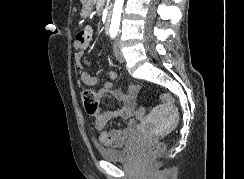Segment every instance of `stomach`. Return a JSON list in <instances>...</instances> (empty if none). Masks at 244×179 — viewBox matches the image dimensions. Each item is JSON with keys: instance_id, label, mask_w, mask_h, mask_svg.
Instances as JSON below:
<instances>
[{"instance_id": "stomach-1", "label": "stomach", "mask_w": 244, "mask_h": 179, "mask_svg": "<svg viewBox=\"0 0 244 179\" xmlns=\"http://www.w3.org/2000/svg\"><path fill=\"white\" fill-rule=\"evenodd\" d=\"M83 8L81 10V16L82 18H88L92 12V4L91 0H85V2H82Z\"/></svg>"}]
</instances>
